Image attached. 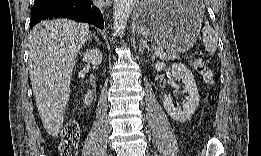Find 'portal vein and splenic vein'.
Instances as JSON below:
<instances>
[{
  "label": "portal vein and splenic vein",
  "mask_w": 261,
  "mask_h": 156,
  "mask_svg": "<svg viewBox=\"0 0 261 156\" xmlns=\"http://www.w3.org/2000/svg\"><path fill=\"white\" fill-rule=\"evenodd\" d=\"M155 55H156V56H159V57H162L163 55H165L164 50H163L162 48H158V49L155 51Z\"/></svg>",
  "instance_id": "portal-vein-and-splenic-vein-1"
}]
</instances>
